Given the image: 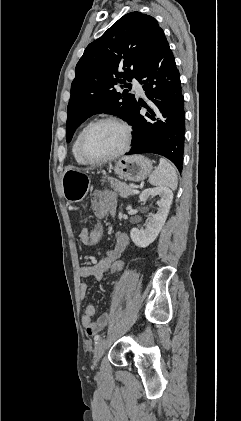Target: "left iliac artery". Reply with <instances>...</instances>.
<instances>
[{
    "label": "left iliac artery",
    "mask_w": 241,
    "mask_h": 421,
    "mask_svg": "<svg viewBox=\"0 0 241 421\" xmlns=\"http://www.w3.org/2000/svg\"><path fill=\"white\" fill-rule=\"evenodd\" d=\"M100 339H101V337L99 335L95 336V341H98Z\"/></svg>",
    "instance_id": "44dca946"
}]
</instances>
